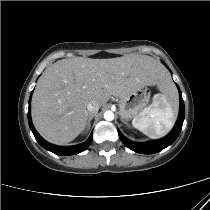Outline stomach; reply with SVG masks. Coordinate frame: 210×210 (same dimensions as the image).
<instances>
[{"mask_svg":"<svg viewBox=\"0 0 210 210\" xmlns=\"http://www.w3.org/2000/svg\"><path fill=\"white\" fill-rule=\"evenodd\" d=\"M150 100V92L145 86L123 97L119 101V112L123 121H129L140 115Z\"/></svg>","mask_w":210,"mask_h":210,"instance_id":"0dacf381","label":"stomach"}]
</instances>
